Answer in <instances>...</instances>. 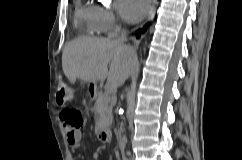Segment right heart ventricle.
<instances>
[{
	"mask_svg": "<svg viewBox=\"0 0 242 160\" xmlns=\"http://www.w3.org/2000/svg\"><path fill=\"white\" fill-rule=\"evenodd\" d=\"M75 23L87 35H98L101 33L96 6L83 2L77 4L75 10Z\"/></svg>",
	"mask_w": 242,
	"mask_h": 160,
	"instance_id": "e07e8e85",
	"label": "right heart ventricle"
}]
</instances>
